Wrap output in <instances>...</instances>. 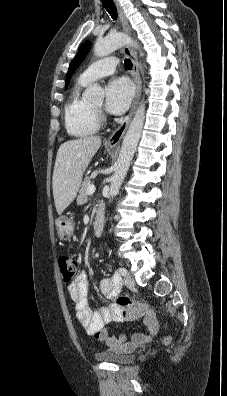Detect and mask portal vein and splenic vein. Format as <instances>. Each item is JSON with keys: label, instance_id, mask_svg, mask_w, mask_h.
Listing matches in <instances>:
<instances>
[{"label": "portal vein and splenic vein", "instance_id": "1", "mask_svg": "<svg viewBox=\"0 0 227 396\" xmlns=\"http://www.w3.org/2000/svg\"><path fill=\"white\" fill-rule=\"evenodd\" d=\"M94 192H95V186L90 185L87 189V193L90 195L93 194Z\"/></svg>", "mask_w": 227, "mask_h": 396}]
</instances>
